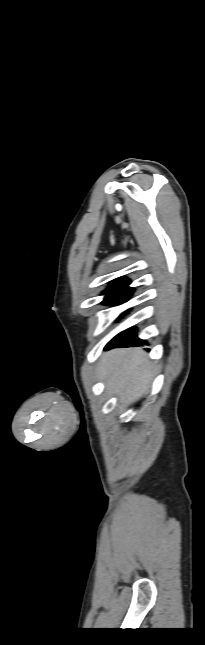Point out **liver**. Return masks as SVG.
<instances>
[{
	"label": "liver",
	"mask_w": 205,
	"mask_h": 645,
	"mask_svg": "<svg viewBox=\"0 0 205 645\" xmlns=\"http://www.w3.org/2000/svg\"><path fill=\"white\" fill-rule=\"evenodd\" d=\"M97 377L121 400L135 402L145 395L153 377V364L141 348H117L104 353Z\"/></svg>",
	"instance_id": "1"
}]
</instances>
